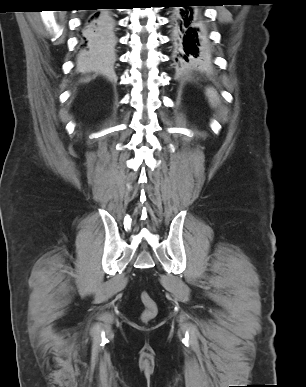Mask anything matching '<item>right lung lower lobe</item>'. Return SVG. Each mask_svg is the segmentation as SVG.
Masks as SVG:
<instances>
[{
	"mask_svg": "<svg viewBox=\"0 0 306 387\" xmlns=\"http://www.w3.org/2000/svg\"><path fill=\"white\" fill-rule=\"evenodd\" d=\"M83 21L78 59L86 65L106 63L114 49V20L109 10L95 9Z\"/></svg>",
	"mask_w": 306,
	"mask_h": 387,
	"instance_id": "1",
	"label": "right lung lower lobe"
}]
</instances>
